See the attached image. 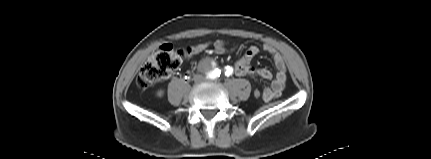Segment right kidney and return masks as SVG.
Returning a JSON list of instances; mask_svg holds the SVG:
<instances>
[{"label":"right kidney","mask_w":431,"mask_h":159,"mask_svg":"<svg viewBox=\"0 0 431 159\" xmlns=\"http://www.w3.org/2000/svg\"><path fill=\"white\" fill-rule=\"evenodd\" d=\"M163 93H164V92H163V90H160V91H158V92H157V95H158L159 97H161V96L163 95Z\"/></svg>","instance_id":"obj_1"}]
</instances>
